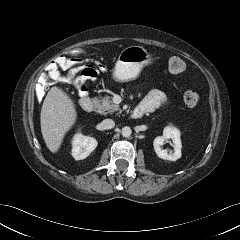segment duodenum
Instances as JSON below:
<instances>
[{
  "label": "duodenum",
  "instance_id": "duodenum-1",
  "mask_svg": "<svg viewBox=\"0 0 240 240\" xmlns=\"http://www.w3.org/2000/svg\"><path fill=\"white\" fill-rule=\"evenodd\" d=\"M80 107L85 112H91L95 107L94 100L90 97L84 96L80 99ZM143 116H144V113L138 108L133 110L131 114V117L134 119H139V118H142Z\"/></svg>",
  "mask_w": 240,
  "mask_h": 240
}]
</instances>
